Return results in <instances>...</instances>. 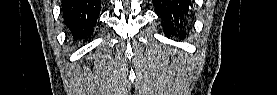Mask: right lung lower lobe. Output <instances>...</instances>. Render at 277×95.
I'll return each instance as SVG.
<instances>
[{
  "mask_svg": "<svg viewBox=\"0 0 277 95\" xmlns=\"http://www.w3.org/2000/svg\"><path fill=\"white\" fill-rule=\"evenodd\" d=\"M65 24L74 39H90L100 13V0H63Z\"/></svg>",
  "mask_w": 277,
  "mask_h": 95,
  "instance_id": "obj_1",
  "label": "right lung lower lobe"
}]
</instances>
